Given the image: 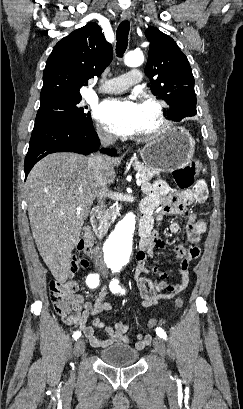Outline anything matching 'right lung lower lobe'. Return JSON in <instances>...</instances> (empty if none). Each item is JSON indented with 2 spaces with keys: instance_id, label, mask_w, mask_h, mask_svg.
<instances>
[{
  "instance_id": "1",
  "label": "right lung lower lobe",
  "mask_w": 243,
  "mask_h": 409,
  "mask_svg": "<svg viewBox=\"0 0 243 409\" xmlns=\"http://www.w3.org/2000/svg\"><path fill=\"white\" fill-rule=\"evenodd\" d=\"M99 138L93 124L72 125L47 118H38L31 135L25 158V179L40 159L55 152H75L87 155L99 147ZM114 155L113 150H102Z\"/></svg>"
}]
</instances>
